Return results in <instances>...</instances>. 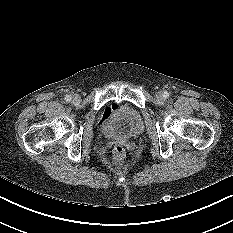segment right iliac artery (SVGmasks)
<instances>
[{
	"instance_id": "right-iliac-artery-1",
	"label": "right iliac artery",
	"mask_w": 233,
	"mask_h": 233,
	"mask_svg": "<svg viewBox=\"0 0 233 233\" xmlns=\"http://www.w3.org/2000/svg\"><path fill=\"white\" fill-rule=\"evenodd\" d=\"M65 100H66V101H70V100H71V96H70V95H66V96H65Z\"/></svg>"
}]
</instances>
